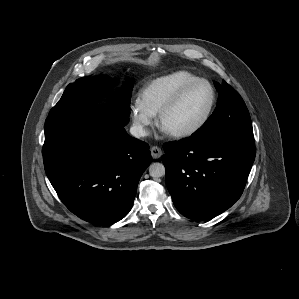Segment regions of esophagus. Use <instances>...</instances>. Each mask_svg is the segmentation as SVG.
<instances>
[{
  "mask_svg": "<svg viewBox=\"0 0 299 299\" xmlns=\"http://www.w3.org/2000/svg\"><path fill=\"white\" fill-rule=\"evenodd\" d=\"M150 152H151V156L154 158V159H158L161 157L162 155V150L161 148H159L158 146H153L151 149H150Z\"/></svg>",
  "mask_w": 299,
  "mask_h": 299,
  "instance_id": "obj_1",
  "label": "esophagus"
}]
</instances>
